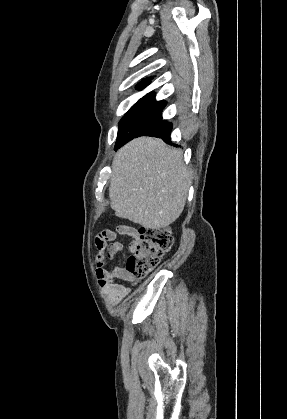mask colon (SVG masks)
<instances>
[{
	"instance_id": "5ec220e1",
	"label": "colon",
	"mask_w": 287,
	"mask_h": 419,
	"mask_svg": "<svg viewBox=\"0 0 287 419\" xmlns=\"http://www.w3.org/2000/svg\"><path fill=\"white\" fill-rule=\"evenodd\" d=\"M101 238L102 236L98 240ZM172 244L173 238L169 230L139 228L130 243L128 272L138 279L143 278L159 265Z\"/></svg>"
}]
</instances>
